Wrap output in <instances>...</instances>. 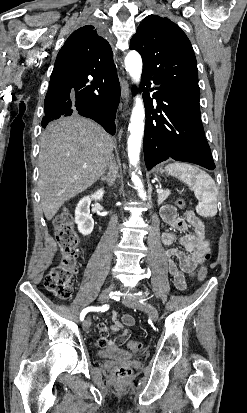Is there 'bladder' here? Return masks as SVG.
<instances>
[{"mask_svg": "<svg viewBox=\"0 0 247 413\" xmlns=\"http://www.w3.org/2000/svg\"><path fill=\"white\" fill-rule=\"evenodd\" d=\"M98 356L100 359L120 358L129 359L132 353L115 347L98 348Z\"/></svg>", "mask_w": 247, "mask_h": 413, "instance_id": "obj_1", "label": "bladder"}]
</instances>
